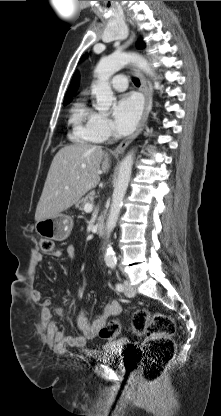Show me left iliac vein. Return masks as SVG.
Instances as JSON below:
<instances>
[{
    "instance_id": "left-iliac-vein-1",
    "label": "left iliac vein",
    "mask_w": 221,
    "mask_h": 416,
    "mask_svg": "<svg viewBox=\"0 0 221 416\" xmlns=\"http://www.w3.org/2000/svg\"><path fill=\"white\" fill-rule=\"evenodd\" d=\"M124 286H125V290H124V294L127 297H134L135 296V290L132 288L130 281L125 280L124 281Z\"/></svg>"
}]
</instances>
